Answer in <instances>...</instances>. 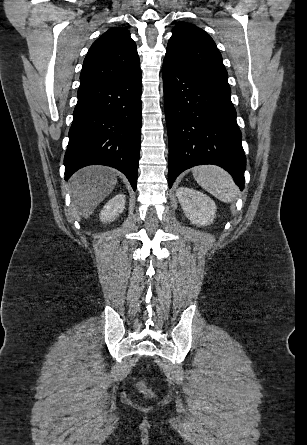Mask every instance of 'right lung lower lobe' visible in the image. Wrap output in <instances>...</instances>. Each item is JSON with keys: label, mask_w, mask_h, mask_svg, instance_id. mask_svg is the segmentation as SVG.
Returning a JSON list of instances; mask_svg holds the SVG:
<instances>
[{"label": "right lung lower lobe", "mask_w": 307, "mask_h": 445, "mask_svg": "<svg viewBox=\"0 0 307 445\" xmlns=\"http://www.w3.org/2000/svg\"><path fill=\"white\" fill-rule=\"evenodd\" d=\"M141 70L80 87L64 157L65 179L92 164L123 172L136 190L141 140Z\"/></svg>", "instance_id": "right-lung-lower-lobe-1"}]
</instances>
